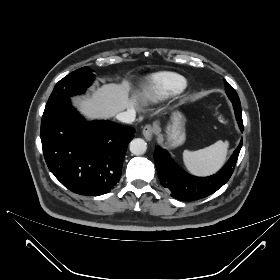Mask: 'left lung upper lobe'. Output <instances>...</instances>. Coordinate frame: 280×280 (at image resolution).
<instances>
[{
  "label": "left lung upper lobe",
  "instance_id": "obj_1",
  "mask_svg": "<svg viewBox=\"0 0 280 280\" xmlns=\"http://www.w3.org/2000/svg\"><path fill=\"white\" fill-rule=\"evenodd\" d=\"M225 87H226L225 92L227 93L230 100L232 102L241 104L237 92L227 81H225Z\"/></svg>",
  "mask_w": 280,
  "mask_h": 280
}]
</instances>
